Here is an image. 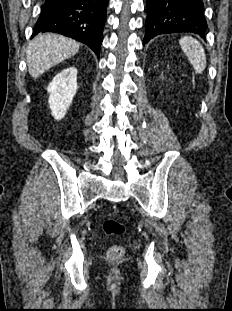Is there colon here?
Instances as JSON below:
<instances>
[{
	"label": "colon",
	"instance_id": "5ec220e1",
	"mask_svg": "<svg viewBox=\"0 0 232 311\" xmlns=\"http://www.w3.org/2000/svg\"><path fill=\"white\" fill-rule=\"evenodd\" d=\"M102 229L109 236H120L125 233L124 225L115 219H105L102 223ZM107 256L111 260H120L124 256V248L120 245H114L108 249Z\"/></svg>",
	"mask_w": 232,
	"mask_h": 311
}]
</instances>
